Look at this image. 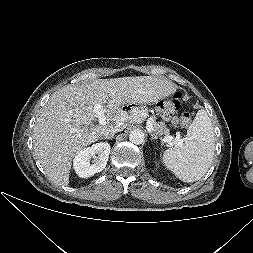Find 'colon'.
I'll list each match as a JSON object with an SVG mask.
<instances>
[{
    "label": "colon",
    "instance_id": "1",
    "mask_svg": "<svg viewBox=\"0 0 253 253\" xmlns=\"http://www.w3.org/2000/svg\"><path fill=\"white\" fill-rule=\"evenodd\" d=\"M182 97V93L181 92H177L175 93L170 100L167 101V112H174L180 104V99ZM176 122V120H175ZM179 124L181 126H187L190 123V115L188 113H183L179 120H178Z\"/></svg>",
    "mask_w": 253,
    "mask_h": 253
}]
</instances>
